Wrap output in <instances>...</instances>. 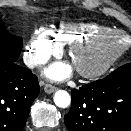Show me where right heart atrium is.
<instances>
[{
	"instance_id": "right-heart-atrium-1",
	"label": "right heart atrium",
	"mask_w": 131,
	"mask_h": 131,
	"mask_svg": "<svg viewBox=\"0 0 131 131\" xmlns=\"http://www.w3.org/2000/svg\"><path fill=\"white\" fill-rule=\"evenodd\" d=\"M61 47L47 28H39L26 45L25 62L35 66L46 61L50 56L59 53Z\"/></svg>"
}]
</instances>
